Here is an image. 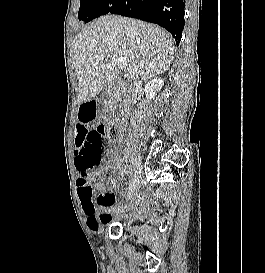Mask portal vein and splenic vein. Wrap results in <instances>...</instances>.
Masks as SVG:
<instances>
[{"mask_svg":"<svg viewBox=\"0 0 265 273\" xmlns=\"http://www.w3.org/2000/svg\"><path fill=\"white\" fill-rule=\"evenodd\" d=\"M110 57H111L113 63H114L115 65H117L118 69H122V70H123V69H126V68H127L128 64H127V62H126L125 59L119 58V57H115V56H110ZM103 58H104V56H101V57L99 58V60H101V59H103Z\"/></svg>","mask_w":265,"mask_h":273,"instance_id":"obj_1","label":"portal vein and splenic vein"}]
</instances>
